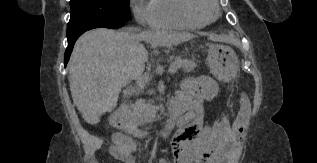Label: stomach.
Wrapping results in <instances>:
<instances>
[{"label": "stomach", "instance_id": "stomach-1", "mask_svg": "<svg viewBox=\"0 0 317 163\" xmlns=\"http://www.w3.org/2000/svg\"><path fill=\"white\" fill-rule=\"evenodd\" d=\"M207 60L212 74L219 80L231 79L238 70L239 61L236 53L225 45H210Z\"/></svg>", "mask_w": 317, "mask_h": 163}]
</instances>
